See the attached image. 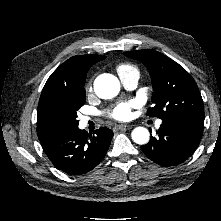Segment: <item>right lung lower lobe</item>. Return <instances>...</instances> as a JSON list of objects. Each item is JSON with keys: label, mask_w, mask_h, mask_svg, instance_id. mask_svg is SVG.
<instances>
[{"label": "right lung lower lobe", "mask_w": 221, "mask_h": 221, "mask_svg": "<svg viewBox=\"0 0 221 221\" xmlns=\"http://www.w3.org/2000/svg\"><path fill=\"white\" fill-rule=\"evenodd\" d=\"M112 137L113 132L106 127L97 129L95 135L76 128L41 144L54 166L68 174L81 175L102 161Z\"/></svg>", "instance_id": "1"}]
</instances>
